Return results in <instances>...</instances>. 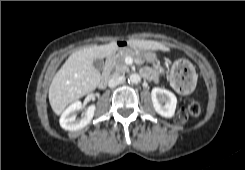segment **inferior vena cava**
Segmentation results:
<instances>
[{"label": "inferior vena cava", "instance_id": "1", "mask_svg": "<svg viewBox=\"0 0 245 170\" xmlns=\"http://www.w3.org/2000/svg\"><path fill=\"white\" fill-rule=\"evenodd\" d=\"M125 76H115V77H112L109 82H108V86L110 88H113V87H116L117 85L119 84H122L125 82Z\"/></svg>", "mask_w": 245, "mask_h": 170}]
</instances>
